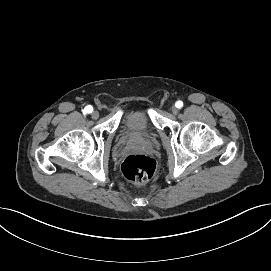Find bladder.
I'll return each mask as SVG.
<instances>
[{"label":"bladder","mask_w":271,"mask_h":271,"mask_svg":"<svg viewBox=\"0 0 271 271\" xmlns=\"http://www.w3.org/2000/svg\"><path fill=\"white\" fill-rule=\"evenodd\" d=\"M132 119L134 121H139L141 119V116L138 114V113H135L133 116H132ZM138 141H144V139H140Z\"/></svg>","instance_id":"31cf9c89"}]
</instances>
